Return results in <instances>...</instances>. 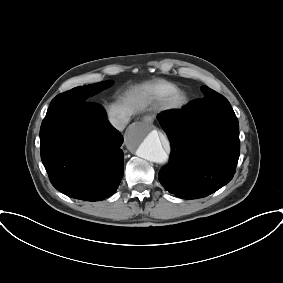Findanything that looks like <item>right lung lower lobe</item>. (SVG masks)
Instances as JSON below:
<instances>
[{
  "label": "right lung lower lobe",
  "mask_w": 283,
  "mask_h": 283,
  "mask_svg": "<svg viewBox=\"0 0 283 283\" xmlns=\"http://www.w3.org/2000/svg\"><path fill=\"white\" fill-rule=\"evenodd\" d=\"M42 163L52 185L69 197L101 201L123 176V137L86 99L50 105L40 129Z\"/></svg>",
  "instance_id": "1"
}]
</instances>
